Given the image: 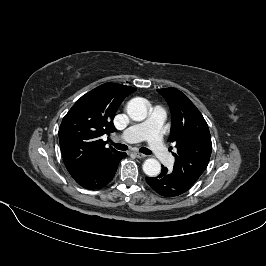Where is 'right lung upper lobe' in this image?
<instances>
[{
  "label": "right lung upper lobe",
  "mask_w": 266,
  "mask_h": 266,
  "mask_svg": "<svg viewBox=\"0 0 266 266\" xmlns=\"http://www.w3.org/2000/svg\"><path fill=\"white\" fill-rule=\"evenodd\" d=\"M134 91L130 86L105 83L83 95L64 116L59 128L60 148L74 179L118 152L106 148L101 137L116 130L112 123L115 113L124 98Z\"/></svg>",
  "instance_id": "obj_1"
}]
</instances>
